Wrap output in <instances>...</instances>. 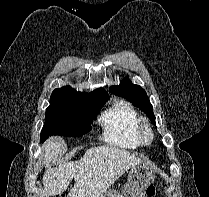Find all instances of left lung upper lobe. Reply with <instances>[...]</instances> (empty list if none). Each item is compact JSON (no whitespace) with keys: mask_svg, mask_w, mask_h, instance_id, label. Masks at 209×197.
Masks as SVG:
<instances>
[{"mask_svg":"<svg viewBox=\"0 0 209 197\" xmlns=\"http://www.w3.org/2000/svg\"><path fill=\"white\" fill-rule=\"evenodd\" d=\"M110 91L132 102L133 105L144 111L155 122L153 107L142 87L134 85L128 78H124L118 86L110 87Z\"/></svg>","mask_w":209,"mask_h":197,"instance_id":"5c2ea615","label":"left lung upper lobe"}]
</instances>
